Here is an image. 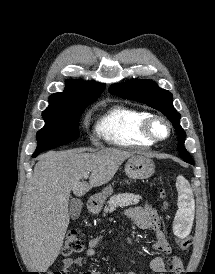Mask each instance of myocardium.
Masks as SVG:
<instances>
[{"label": "myocardium", "mask_w": 215, "mask_h": 274, "mask_svg": "<svg viewBox=\"0 0 215 274\" xmlns=\"http://www.w3.org/2000/svg\"><path fill=\"white\" fill-rule=\"evenodd\" d=\"M157 124H162L165 127V135L160 136L156 133L155 127ZM142 132L152 143H160L171 136L172 126L166 117L158 114H151L144 120L142 124Z\"/></svg>", "instance_id": "myocardium-1"}]
</instances>
